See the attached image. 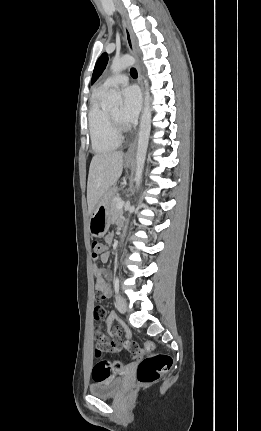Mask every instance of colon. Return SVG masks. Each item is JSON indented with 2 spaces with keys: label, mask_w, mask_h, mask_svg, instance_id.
Wrapping results in <instances>:
<instances>
[{
  "label": "colon",
  "mask_w": 261,
  "mask_h": 431,
  "mask_svg": "<svg viewBox=\"0 0 261 431\" xmlns=\"http://www.w3.org/2000/svg\"><path fill=\"white\" fill-rule=\"evenodd\" d=\"M108 249L109 246L106 242L94 241L92 243L93 259H100L108 253ZM131 344L133 343L131 342ZM153 349L154 344L147 342L144 351L139 349L136 355L132 356L134 359L139 360L137 379L139 384L143 386L155 383L172 366V358L169 355L154 352ZM95 357L98 361L91 372L93 383L98 385L106 383L108 379H111L112 373H122L124 371V362L122 360H114L110 364L102 359V351L99 348L95 350Z\"/></svg>",
  "instance_id": "colon-1"
}]
</instances>
